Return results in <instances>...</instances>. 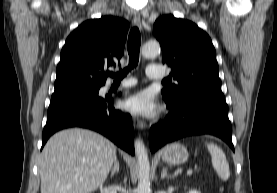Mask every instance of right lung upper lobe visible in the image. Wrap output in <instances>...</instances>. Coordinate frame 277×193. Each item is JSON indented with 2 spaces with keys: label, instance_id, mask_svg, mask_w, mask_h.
Returning a JSON list of instances; mask_svg holds the SVG:
<instances>
[{
  "label": "right lung upper lobe",
  "instance_id": "cb5924a9",
  "mask_svg": "<svg viewBox=\"0 0 277 193\" xmlns=\"http://www.w3.org/2000/svg\"><path fill=\"white\" fill-rule=\"evenodd\" d=\"M129 23L114 16L88 20L67 38L56 69L55 92L85 90L105 84L124 53Z\"/></svg>",
  "mask_w": 277,
  "mask_h": 193
}]
</instances>
